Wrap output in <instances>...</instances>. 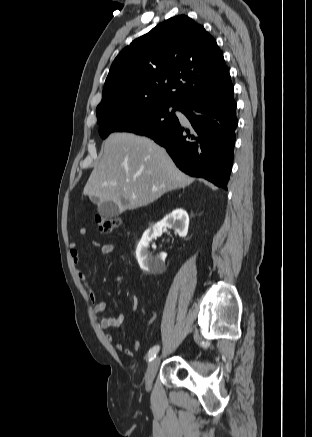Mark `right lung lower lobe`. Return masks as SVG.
Segmentation results:
<instances>
[{
	"label": "right lung lower lobe",
	"mask_w": 312,
	"mask_h": 437,
	"mask_svg": "<svg viewBox=\"0 0 312 437\" xmlns=\"http://www.w3.org/2000/svg\"><path fill=\"white\" fill-rule=\"evenodd\" d=\"M230 75L218 87L192 98L180 108L191 127L177 121L148 135L166 148L180 170L227 189L233 164L237 118Z\"/></svg>",
	"instance_id": "1"
}]
</instances>
